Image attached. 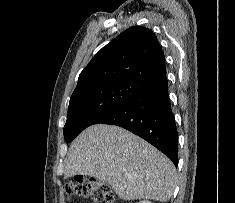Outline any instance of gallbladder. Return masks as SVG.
I'll return each mask as SVG.
<instances>
[{"label": "gallbladder", "instance_id": "obj_1", "mask_svg": "<svg viewBox=\"0 0 235 203\" xmlns=\"http://www.w3.org/2000/svg\"><path fill=\"white\" fill-rule=\"evenodd\" d=\"M97 184H98V185H104V184H105V181H104V180H98V181H97Z\"/></svg>", "mask_w": 235, "mask_h": 203}]
</instances>
